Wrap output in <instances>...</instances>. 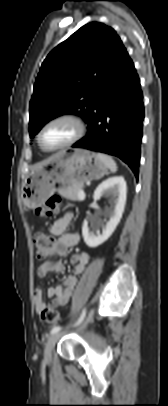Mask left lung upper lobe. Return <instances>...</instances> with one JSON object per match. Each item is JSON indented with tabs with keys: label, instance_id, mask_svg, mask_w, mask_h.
I'll list each match as a JSON object with an SVG mask.
<instances>
[{
	"label": "left lung upper lobe",
	"instance_id": "left-lung-upper-lobe-1",
	"mask_svg": "<svg viewBox=\"0 0 168 406\" xmlns=\"http://www.w3.org/2000/svg\"><path fill=\"white\" fill-rule=\"evenodd\" d=\"M125 50L109 26L91 22L54 48L42 63L30 101V136L62 114L88 123L100 89Z\"/></svg>",
	"mask_w": 168,
	"mask_h": 406
}]
</instances>
